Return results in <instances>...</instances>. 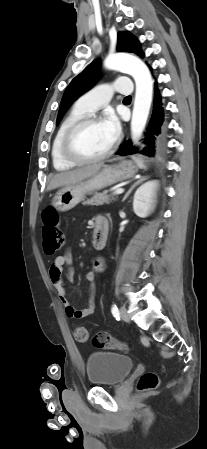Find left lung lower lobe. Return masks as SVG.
<instances>
[{"label":"left lung lower lobe","mask_w":207,"mask_h":449,"mask_svg":"<svg viewBox=\"0 0 207 449\" xmlns=\"http://www.w3.org/2000/svg\"><path fill=\"white\" fill-rule=\"evenodd\" d=\"M152 70V68H150ZM166 133V122L164 119V110L162 107L161 96L155 82V96L153 103V113L149 122V125L144 133L145 138L143 143L145 147L139 149L133 147L131 141L124 142L117 154L120 156L131 155L135 153H142L147 156H154L156 152L161 151L163 148L164 137Z\"/></svg>","instance_id":"1"}]
</instances>
